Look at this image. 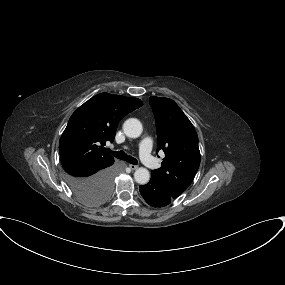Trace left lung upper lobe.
<instances>
[{
  "label": "left lung upper lobe",
  "instance_id": "obj_1",
  "mask_svg": "<svg viewBox=\"0 0 285 285\" xmlns=\"http://www.w3.org/2000/svg\"><path fill=\"white\" fill-rule=\"evenodd\" d=\"M149 102L156 120L157 152L165 153L161 167L153 170L152 176L178 197L189 187L200 165L198 136L173 100L154 96Z\"/></svg>",
  "mask_w": 285,
  "mask_h": 285
}]
</instances>
